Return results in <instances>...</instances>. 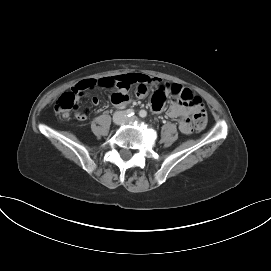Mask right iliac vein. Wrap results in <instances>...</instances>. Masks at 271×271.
Wrapping results in <instances>:
<instances>
[{
  "label": "right iliac vein",
  "mask_w": 271,
  "mask_h": 271,
  "mask_svg": "<svg viewBox=\"0 0 271 271\" xmlns=\"http://www.w3.org/2000/svg\"><path fill=\"white\" fill-rule=\"evenodd\" d=\"M123 120H124L123 113L117 112V113L114 114V116H113L114 124L119 125V124H121L123 122Z\"/></svg>",
  "instance_id": "right-iliac-vein-1"
}]
</instances>
